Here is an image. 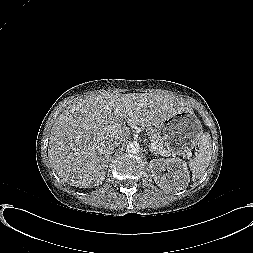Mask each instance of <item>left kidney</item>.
<instances>
[{
	"label": "left kidney",
	"instance_id": "left-kidney-1",
	"mask_svg": "<svg viewBox=\"0 0 253 253\" xmlns=\"http://www.w3.org/2000/svg\"><path fill=\"white\" fill-rule=\"evenodd\" d=\"M153 166L154 180L161 188H169L175 191L183 190L189 183V171L186 163L181 160L155 159L151 161ZM170 171V178H167L162 171Z\"/></svg>",
	"mask_w": 253,
	"mask_h": 253
}]
</instances>
